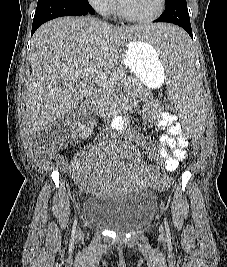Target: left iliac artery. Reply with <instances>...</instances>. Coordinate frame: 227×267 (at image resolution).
<instances>
[{
	"label": "left iliac artery",
	"mask_w": 227,
	"mask_h": 267,
	"mask_svg": "<svg viewBox=\"0 0 227 267\" xmlns=\"http://www.w3.org/2000/svg\"><path fill=\"white\" fill-rule=\"evenodd\" d=\"M164 222H165L166 232H167V234L169 235V226H168V223H167L166 218H164Z\"/></svg>",
	"instance_id": "obj_1"
}]
</instances>
